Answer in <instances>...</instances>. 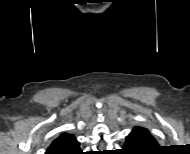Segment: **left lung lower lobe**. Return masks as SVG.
Instances as JSON below:
<instances>
[{
    "label": "left lung lower lobe",
    "instance_id": "left-lung-lower-lobe-1",
    "mask_svg": "<svg viewBox=\"0 0 190 154\" xmlns=\"http://www.w3.org/2000/svg\"><path fill=\"white\" fill-rule=\"evenodd\" d=\"M157 145V141L147 129L135 127L126 137L124 150L131 152L130 154H142L141 152L157 147Z\"/></svg>",
    "mask_w": 190,
    "mask_h": 154
}]
</instances>
